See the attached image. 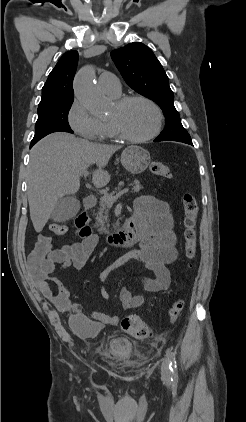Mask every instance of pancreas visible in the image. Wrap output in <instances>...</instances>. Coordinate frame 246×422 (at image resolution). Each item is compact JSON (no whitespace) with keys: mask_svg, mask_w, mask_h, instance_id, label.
I'll use <instances>...</instances> for the list:
<instances>
[{"mask_svg":"<svg viewBox=\"0 0 246 422\" xmlns=\"http://www.w3.org/2000/svg\"><path fill=\"white\" fill-rule=\"evenodd\" d=\"M133 184H134L133 191L139 192L140 189L142 188L140 181L134 180ZM119 189L120 188L118 187V189H115V191H112L110 194H106V195L114 197L115 193H117V190H119ZM108 206L109 205L107 204V202L103 198H100L99 208H98L97 216H96V220H97L96 224H97V227H98V231L100 233H109V224H108L109 220H108V215H107V207Z\"/></svg>","mask_w":246,"mask_h":422,"instance_id":"cf45deb5","label":"pancreas"}]
</instances>
